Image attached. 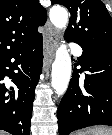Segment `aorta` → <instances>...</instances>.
<instances>
[{
  "instance_id": "1",
  "label": "aorta",
  "mask_w": 112,
  "mask_h": 135,
  "mask_svg": "<svg viewBox=\"0 0 112 135\" xmlns=\"http://www.w3.org/2000/svg\"><path fill=\"white\" fill-rule=\"evenodd\" d=\"M49 17L56 28H66L68 23V12L65 8L60 6L52 7ZM71 72L72 64L69 50L65 44H61L56 50L51 73V86L58 96L66 92L71 78Z\"/></svg>"
}]
</instances>
